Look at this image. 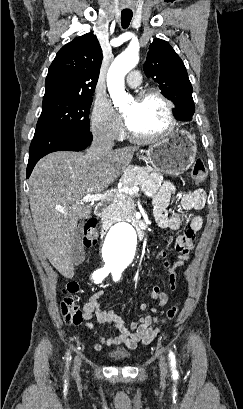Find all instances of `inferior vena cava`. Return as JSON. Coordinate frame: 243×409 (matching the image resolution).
<instances>
[{
  "label": "inferior vena cava",
  "instance_id": "inferior-vena-cava-1",
  "mask_svg": "<svg viewBox=\"0 0 243 409\" xmlns=\"http://www.w3.org/2000/svg\"><path fill=\"white\" fill-rule=\"evenodd\" d=\"M114 140L104 132H95L90 148L87 150L86 158L90 161L106 156L112 150Z\"/></svg>",
  "mask_w": 243,
  "mask_h": 409
}]
</instances>
